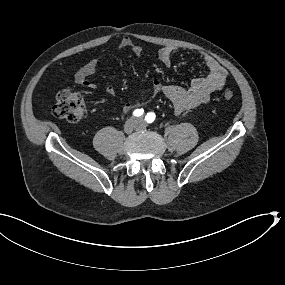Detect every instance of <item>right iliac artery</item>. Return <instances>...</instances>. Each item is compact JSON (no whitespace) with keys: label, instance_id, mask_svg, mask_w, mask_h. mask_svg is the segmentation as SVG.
I'll return each mask as SVG.
<instances>
[{"label":"right iliac artery","instance_id":"obj_1","mask_svg":"<svg viewBox=\"0 0 285 285\" xmlns=\"http://www.w3.org/2000/svg\"><path fill=\"white\" fill-rule=\"evenodd\" d=\"M143 113H144V110H143V109H136V110L133 112L134 116H136V117H139V116L143 115Z\"/></svg>","mask_w":285,"mask_h":285}]
</instances>
